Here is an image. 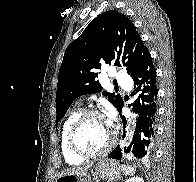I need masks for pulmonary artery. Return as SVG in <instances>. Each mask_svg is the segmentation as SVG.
<instances>
[{
	"label": "pulmonary artery",
	"instance_id": "e3ab8cb5",
	"mask_svg": "<svg viewBox=\"0 0 196 182\" xmlns=\"http://www.w3.org/2000/svg\"><path fill=\"white\" fill-rule=\"evenodd\" d=\"M115 79L117 83L122 86H125V87L130 86V83H131L130 77L124 72H121V71L117 72L115 74Z\"/></svg>",
	"mask_w": 196,
	"mask_h": 182
}]
</instances>
